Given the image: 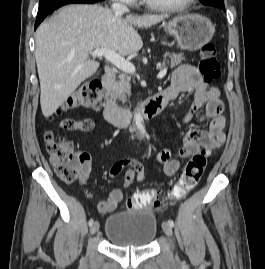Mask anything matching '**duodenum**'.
Returning <instances> with one entry per match:
<instances>
[{"label": "duodenum", "instance_id": "1", "mask_svg": "<svg viewBox=\"0 0 265 269\" xmlns=\"http://www.w3.org/2000/svg\"><path fill=\"white\" fill-rule=\"evenodd\" d=\"M116 75L112 69H107L102 79L105 90L104 118L114 125H128L137 116L152 118L157 116L165 107L162 93L151 96L136 109H124L116 104Z\"/></svg>", "mask_w": 265, "mask_h": 269}]
</instances>
